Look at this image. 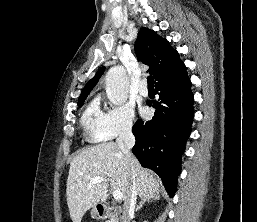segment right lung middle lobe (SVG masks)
<instances>
[{
  "label": "right lung middle lobe",
  "instance_id": "right-lung-middle-lobe-1",
  "mask_svg": "<svg viewBox=\"0 0 257 222\" xmlns=\"http://www.w3.org/2000/svg\"><path fill=\"white\" fill-rule=\"evenodd\" d=\"M83 103H84V100L81 101L80 103H78V106L81 107L83 105Z\"/></svg>",
  "mask_w": 257,
  "mask_h": 222
}]
</instances>
